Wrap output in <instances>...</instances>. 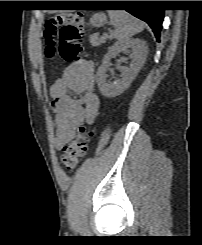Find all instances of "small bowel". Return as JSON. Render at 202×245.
<instances>
[{
	"label": "small bowel",
	"instance_id": "small-bowel-1",
	"mask_svg": "<svg viewBox=\"0 0 202 245\" xmlns=\"http://www.w3.org/2000/svg\"><path fill=\"white\" fill-rule=\"evenodd\" d=\"M94 71L91 61L71 63L50 88L56 113L54 146L59 151L74 141L83 127L95 121L100 100L93 92Z\"/></svg>",
	"mask_w": 202,
	"mask_h": 245
}]
</instances>
